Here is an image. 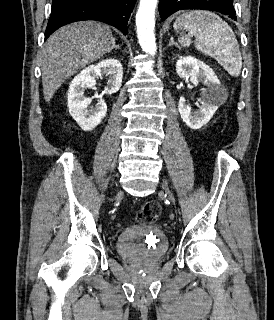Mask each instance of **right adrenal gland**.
Listing matches in <instances>:
<instances>
[{"instance_id":"obj_1","label":"right adrenal gland","mask_w":274,"mask_h":320,"mask_svg":"<svg viewBox=\"0 0 274 320\" xmlns=\"http://www.w3.org/2000/svg\"><path fill=\"white\" fill-rule=\"evenodd\" d=\"M116 38H114V42H113V48L112 50H120V46H116V42H115ZM111 50V52H112ZM108 54H110V52H108Z\"/></svg>"}]
</instances>
